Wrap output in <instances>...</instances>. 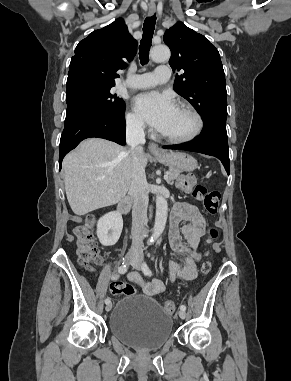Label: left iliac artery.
<instances>
[{
  "instance_id": "44dca946",
  "label": "left iliac artery",
  "mask_w": 291,
  "mask_h": 381,
  "mask_svg": "<svg viewBox=\"0 0 291 381\" xmlns=\"http://www.w3.org/2000/svg\"><path fill=\"white\" fill-rule=\"evenodd\" d=\"M142 271L145 275H148V276H151L153 273L152 271L150 270V268L148 267V265L146 263L143 264L142 266ZM180 309L181 310H186V306L185 305H180Z\"/></svg>"
}]
</instances>
